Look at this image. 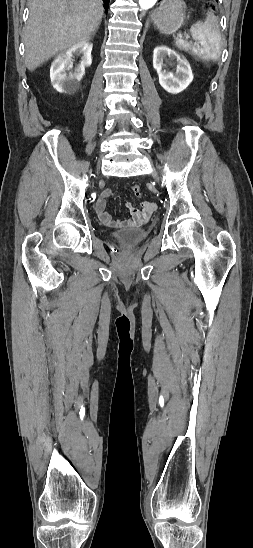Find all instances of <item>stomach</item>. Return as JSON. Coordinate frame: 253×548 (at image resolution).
I'll list each match as a JSON object with an SVG mask.
<instances>
[{
  "mask_svg": "<svg viewBox=\"0 0 253 548\" xmlns=\"http://www.w3.org/2000/svg\"><path fill=\"white\" fill-rule=\"evenodd\" d=\"M186 11L183 0H163L153 15V23L161 33L173 34L184 23Z\"/></svg>",
  "mask_w": 253,
  "mask_h": 548,
  "instance_id": "1",
  "label": "stomach"
}]
</instances>
